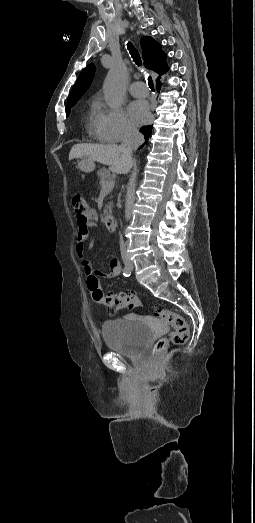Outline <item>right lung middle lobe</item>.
Wrapping results in <instances>:
<instances>
[{"mask_svg":"<svg viewBox=\"0 0 255 523\" xmlns=\"http://www.w3.org/2000/svg\"><path fill=\"white\" fill-rule=\"evenodd\" d=\"M75 104H76V101H73V102H67V106H66V115H67V116H68L69 113H70V109H71V107H73Z\"/></svg>","mask_w":255,"mask_h":523,"instance_id":"dd1d6c3e","label":"right lung middle lobe"}]
</instances>
